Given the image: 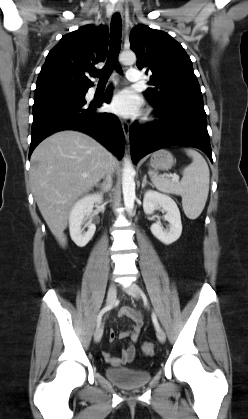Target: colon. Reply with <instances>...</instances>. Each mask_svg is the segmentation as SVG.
Wrapping results in <instances>:
<instances>
[{
    "label": "colon",
    "mask_w": 248,
    "mask_h": 419,
    "mask_svg": "<svg viewBox=\"0 0 248 419\" xmlns=\"http://www.w3.org/2000/svg\"><path fill=\"white\" fill-rule=\"evenodd\" d=\"M142 350L145 354H152L154 352V344L152 342L146 341L142 345Z\"/></svg>",
    "instance_id": "5ec220e1"
}]
</instances>
